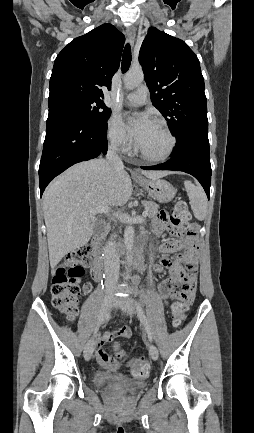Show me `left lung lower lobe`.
Listing matches in <instances>:
<instances>
[{"label": "left lung lower lobe", "instance_id": "0a47b994", "mask_svg": "<svg viewBox=\"0 0 254 433\" xmlns=\"http://www.w3.org/2000/svg\"><path fill=\"white\" fill-rule=\"evenodd\" d=\"M145 170H174L193 175L210 197L211 165L208 132L190 131L179 140L172 157L165 163L155 166H142Z\"/></svg>", "mask_w": 254, "mask_h": 433}]
</instances>
